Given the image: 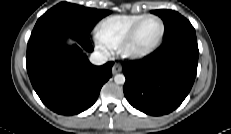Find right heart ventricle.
<instances>
[{"mask_svg": "<svg viewBox=\"0 0 231 134\" xmlns=\"http://www.w3.org/2000/svg\"><path fill=\"white\" fill-rule=\"evenodd\" d=\"M145 14L113 15L103 19L96 27L98 40L108 48H118L131 28Z\"/></svg>", "mask_w": 231, "mask_h": 134, "instance_id": "1", "label": "right heart ventricle"}]
</instances>
